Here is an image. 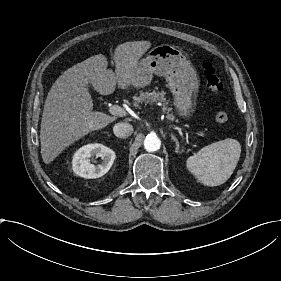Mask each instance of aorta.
<instances>
[{"instance_id":"aorta-1","label":"aorta","mask_w":281,"mask_h":281,"mask_svg":"<svg viewBox=\"0 0 281 281\" xmlns=\"http://www.w3.org/2000/svg\"><path fill=\"white\" fill-rule=\"evenodd\" d=\"M161 141L157 135H147L144 140V148L148 152H154L160 149Z\"/></svg>"}]
</instances>
